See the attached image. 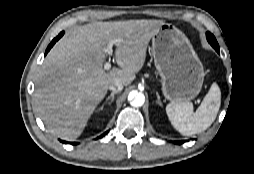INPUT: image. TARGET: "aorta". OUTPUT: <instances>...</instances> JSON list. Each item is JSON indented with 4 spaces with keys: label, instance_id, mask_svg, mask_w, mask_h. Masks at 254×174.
I'll list each match as a JSON object with an SVG mask.
<instances>
[{
    "label": "aorta",
    "instance_id": "obj_1",
    "mask_svg": "<svg viewBox=\"0 0 254 174\" xmlns=\"http://www.w3.org/2000/svg\"><path fill=\"white\" fill-rule=\"evenodd\" d=\"M128 100L133 107H141L145 102V96L138 91H132L128 95Z\"/></svg>",
    "mask_w": 254,
    "mask_h": 174
}]
</instances>
